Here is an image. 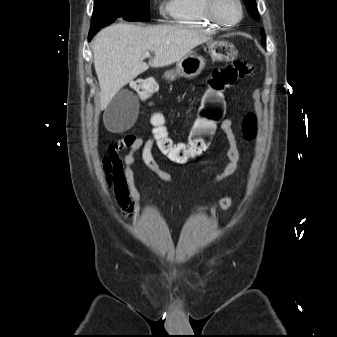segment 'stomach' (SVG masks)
<instances>
[{
    "mask_svg": "<svg viewBox=\"0 0 337 337\" xmlns=\"http://www.w3.org/2000/svg\"><path fill=\"white\" fill-rule=\"evenodd\" d=\"M207 47L213 60L229 61L236 56L234 45L227 41H210ZM204 67L205 59L195 51H191L176 63L175 69L165 72L164 77L169 80L177 77L192 79L199 75Z\"/></svg>",
    "mask_w": 337,
    "mask_h": 337,
    "instance_id": "obj_1",
    "label": "stomach"
}]
</instances>
